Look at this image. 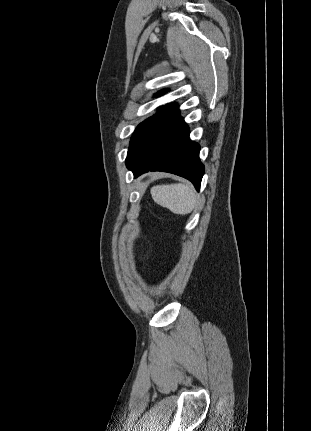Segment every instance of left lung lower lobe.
I'll use <instances>...</instances> for the list:
<instances>
[{"label": "left lung lower lobe", "mask_w": 311, "mask_h": 431, "mask_svg": "<svg viewBox=\"0 0 311 431\" xmlns=\"http://www.w3.org/2000/svg\"><path fill=\"white\" fill-rule=\"evenodd\" d=\"M199 144L190 141L177 104L161 108L129 146L126 166L137 177L148 171H164L190 180L199 191L204 166Z\"/></svg>", "instance_id": "left-lung-lower-lobe-1"}]
</instances>
